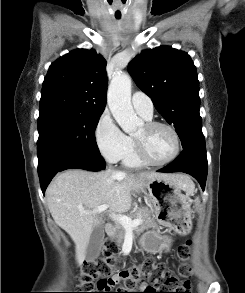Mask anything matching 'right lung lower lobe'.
Here are the masks:
<instances>
[{
  "label": "right lung lower lobe",
  "instance_id": "obj_1",
  "mask_svg": "<svg viewBox=\"0 0 245 293\" xmlns=\"http://www.w3.org/2000/svg\"><path fill=\"white\" fill-rule=\"evenodd\" d=\"M105 166V161L101 155L68 153L58 156L50 161L44 169L38 171L42 192L43 194L45 193V190L52 178L60 171L71 168L100 171L105 168Z\"/></svg>",
  "mask_w": 245,
  "mask_h": 293
}]
</instances>
